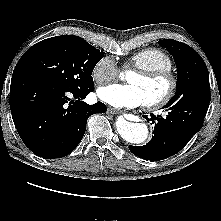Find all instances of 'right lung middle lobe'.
Returning a JSON list of instances; mask_svg holds the SVG:
<instances>
[{
    "instance_id": "obj_1",
    "label": "right lung middle lobe",
    "mask_w": 221,
    "mask_h": 221,
    "mask_svg": "<svg viewBox=\"0 0 221 221\" xmlns=\"http://www.w3.org/2000/svg\"><path fill=\"white\" fill-rule=\"evenodd\" d=\"M104 54L78 36H56L28 49L15 70L39 74L66 88L91 89L93 69Z\"/></svg>"
}]
</instances>
